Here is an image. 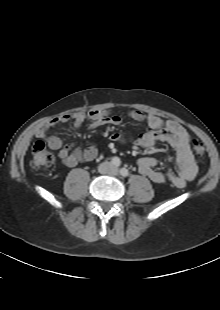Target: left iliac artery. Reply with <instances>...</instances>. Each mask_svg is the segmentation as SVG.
Masks as SVG:
<instances>
[{"instance_id":"44dca946","label":"left iliac artery","mask_w":220,"mask_h":310,"mask_svg":"<svg viewBox=\"0 0 220 310\" xmlns=\"http://www.w3.org/2000/svg\"><path fill=\"white\" fill-rule=\"evenodd\" d=\"M120 174L123 176V177H127L129 175V171L128 169L126 168H121L120 169Z\"/></svg>"}]
</instances>
